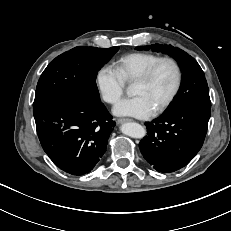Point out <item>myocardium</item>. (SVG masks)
Wrapping results in <instances>:
<instances>
[{
  "label": "myocardium",
  "instance_id": "myocardium-1",
  "mask_svg": "<svg viewBox=\"0 0 231 231\" xmlns=\"http://www.w3.org/2000/svg\"><path fill=\"white\" fill-rule=\"evenodd\" d=\"M166 62L172 64L174 67L176 72V82L169 96L155 109V114L165 111L175 100L182 87L183 71L180 63L173 57H161L135 79V82H148L153 77L159 66Z\"/></svg>",
  "mask_w": 231,
  "mask_h": 231
}]
</instances>
